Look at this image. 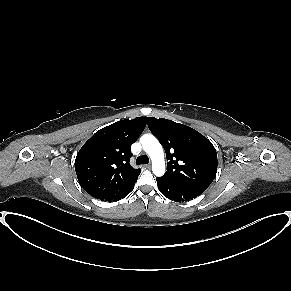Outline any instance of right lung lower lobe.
<instances>
[{
    "label": "right lung lower lobe",
    "instance_id": "obj_1",
    "mask_svg": "<svg viewBox=\"0 0 291 291\" xmlns=\"http://www.w3.org/2000/svg\"><path fill=\"white\" fill-rule=\"evenodd\" d=\"M134 186L126 193L124 194L123 196L119 197L118 199H115V200H120L121 198H124L125 196H127L132 190H133Z\"/></svg>",
    "mask_w": 291,
    "mask_h": 291
}]
</instances>
